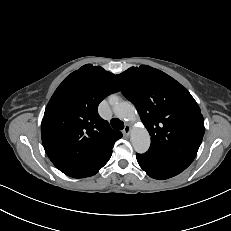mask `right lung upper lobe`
<instances>
[{
    "label": "right lung upper lobe",
    "mask_w": 231,
    "mask_h": 231,
    "mask_svg": "<svg viewBox=\"0 0 231 231\" xmlns=\"http://www.w3.org/2000/svg\"><path fill=\"white\" fill-rule=\"evenodd\" d=\"M118 91L115 75L91 64L58 86L45 109L41 137L46 154L61 172L72 177L91 167L122 137L97 111L105 97Z\"/></svg>",
    "instance_id": "obj_1"
}]
</instances>
